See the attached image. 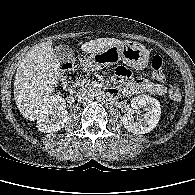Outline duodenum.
Masks as SVG:
<instances>
[{"label": "duodenum", "mask_w": 195, "mask_h": 195, "mask_svg": "<svg viewBox=\"0 0 195 195\" xmlns=\"http://www.w3.org/2000/svg\"><path fill=\"white\" fill-rule=\"evenodd\" d=\"M84 90H85V86L82 83H76V84L71 86V92L74 94H81L84 92ZM106 91L112 95L116 94L115 88L111 87V86L107 87Z\"/></svg>", "instance_id": "duodenum-1"}]
</instances>
